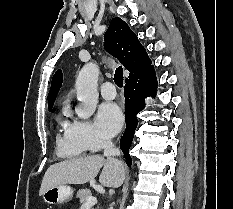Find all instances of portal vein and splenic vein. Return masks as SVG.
Returning a JSON list of instances; mask_svg holds the SVG:
<instances>
[{
	"mask_svg": "<svg viewBox=\"0 0 233 209\" xmlns=\"http://www.w3.org/2000/svg\"><path fill=\"white\" fill-rule=\"evenodd\" d=\"M97 203V199L93 196H90L86 199L85 203L82 204L81 209H90Z\"/></svg>",
	"mask_w": 233,
	"mask_h": 209,
	"instance_id": "18ae733b",
	"label": "portal vein and splenic vein"
}]
</instances>
